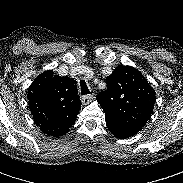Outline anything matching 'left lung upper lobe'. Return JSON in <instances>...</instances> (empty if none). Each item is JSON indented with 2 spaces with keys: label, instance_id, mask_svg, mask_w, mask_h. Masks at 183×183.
I'll use <instances>...</instances> for the list:
<instances>
[{
  "label": "left lung upper lobe",
  "instance_id": "1",
  "mask_svg": "<svg viewBox=\"0 0 183 183\" xmlns=\"http://www.w3.org/2000/svg\"><path fill=\"white\" fill-rule=\"evenodd\" d=\"M107 89L97 95L106 120L143 127L151 116L156 96L137 69L118 66L106 77Z\"/></svg>",
  "mask_w": 183,
  "mask_h": 183
}]
</instances>
